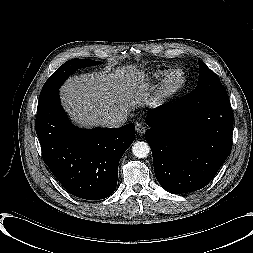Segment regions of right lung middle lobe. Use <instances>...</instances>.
Here are the masks:
<instances>
[{
  "label": "right lung middle lobe",
  "mask_w": 253,
  "mask_h": 253,
  "mask_svg": "<svg viewBox=\"0 0 253 253\" xmlns=\"http://www.w3.org/2000/svg\"><path fill=\"white\" fill-rule=\"evenodd\" d=\"M100 62L88 59H72L60 66L46 81L40 94L38 107L43 106L54 94H56L65 81L75 70L86 66L97 65Z\"/></svg>",
  "instance_id": "1"
}]
</instances>
